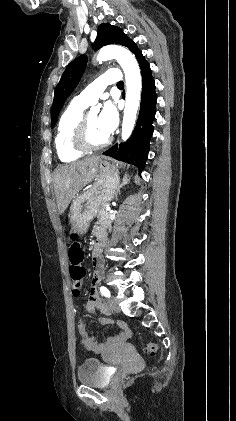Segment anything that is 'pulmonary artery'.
<instances>
[{"label": "pulmonary artery", "instance_id": "pulmonary-artery-1", "mask_svg": "<svg viewBox=\"0 0 236 421\" xmlns=\"http://www.w3.org/2000/svg\"><path fill=\"white\" fill-rule=\"evenodd\" d=\"M121 71L116 69H107L105 74L101 75L95 84L88 86L79 96L74 100L84 107L90 106L96 102L104 89L113 83L119 81Z\"/></svg>", "mask_w": 236, "mask_h": 421}]
</instances>
